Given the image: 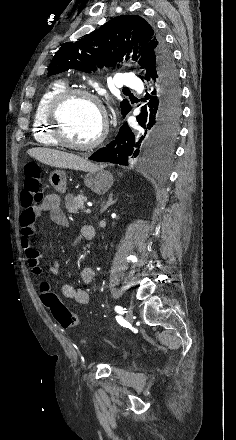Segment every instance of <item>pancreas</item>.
Here are the masks:
<instances>
[{"mask_svg":"<svg viewBox=\"0 0 236 440\" xmlns=\"http://www.w3.org/2000/svg\"><path fill=\"white\" fill-rule=\"evenodd\" d=\"M87 201V196L80 194L74 197L72 194H69L65 197V205L70 213H78V210L81 209L84 211L85 205L84 202Z\"/></svg>","mask_w":236,"mask_h":440,"instance_id":"obj_1","label":"pancreas"}]
</instances>
